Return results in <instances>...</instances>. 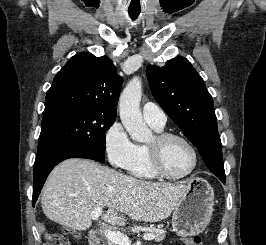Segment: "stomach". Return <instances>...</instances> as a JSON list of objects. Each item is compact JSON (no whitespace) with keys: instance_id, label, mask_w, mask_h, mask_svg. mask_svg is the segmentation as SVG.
<instances>
[{"instance_id":"stomach-1","label":"stomach","mask_w":266,"mask_h":245,"mask_svg":"<svg viewBox=\"0 0 266 245\" xmlns=\"http://www.w3.org/2000/svg\"><path fill=\"white\" fill-rule=\"evenodd\" d=\"M187 187V193L172 211V229L178 237L200 235L209 225L214 211L215 195L206 179L191 177Z\"/></svg>"}]
</instances>
